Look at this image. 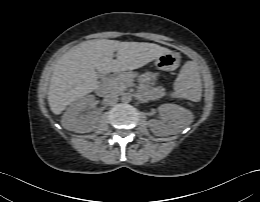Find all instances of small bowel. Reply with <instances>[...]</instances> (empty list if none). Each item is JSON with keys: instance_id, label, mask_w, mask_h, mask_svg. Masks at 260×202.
Returning a JSON list of instances; mask_svg holds the SVG:
<instances>
[{"instance_id": "1", "label": "small bowel", "mask_w": 260, "mask_h": 202, "mask_svg": "<svg viewBox=\"0 0 260 202\" xmlns=\"http://www.w3.org/2000/svg\"><path fill=\"white\" fill-rule=\"evenodd\" d=\"M151 77H152L151 75H147L145 78H146V79H149V78H151ZM158 94H160V91H156V92H155V95H158Z\"/></svg>"}]
</instances>
